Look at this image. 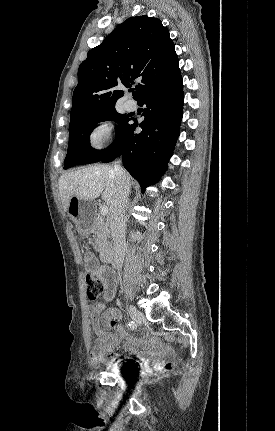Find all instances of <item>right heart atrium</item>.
Listing matches in <instances>:
<instances>
[{"mask_svg": "<svg viewBox=\"0 0 275 431\" xmlns=\"http://www.w3.org/2000/svg\"><path fill=\"white\" fill-rule=\"evenodd\" d=\"M114 140V124L110 120L98 121L89 134V144L99 150L110 145Z\"/></svg>", "mask_w": 275, "mask_h": 431, "instance_id": "obj_1", "label": "right heart atrium"}]
</instances>
